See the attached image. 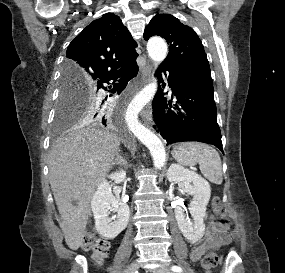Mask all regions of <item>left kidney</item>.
Masks as SVG:
<instances>
[{
    "mask_svg": "<svg viewBox=\"0 0 285 273\" xmlns=\"http://www.w3.org/2000/svg\"><path fill=\"white\" fill-rule=\"evenodd\" d=\"M167 178L171 183H181L185 192L193 196L190 203L193 222L185 218L184 210L180 207H176L174 213L183 236L191 243H195L205 232L204 217L211 196L210 185L197 173L179 164H172L169 167Z\"/></svg>",
    "mask_w": 285,
    "mask_h": 273,
    "instance_id": "obj_1",
    "label": "left kidney"
}]
</instances>
